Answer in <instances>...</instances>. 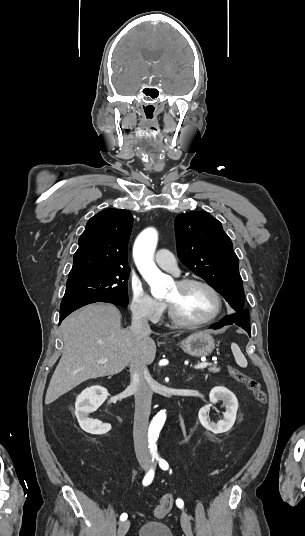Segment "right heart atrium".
<instances>
[{
    "label": "right heart atrium",
    "instance_id": "right-heart-atrium-1",
    "mask_svg": "<svg viewBox=\"0 0 305 536\" xmlns=\"http://www.w3.org/2000/svg\"><path fill=\"white\" fill-rule=\"evenodd\" d=\"M129 307L133 316L148 320L158 319L164 310V304L151 297L136 281L130 284Z\"/></svg>",
    "mask_w": 305,
    "mask_h": 536
}]
</instances>
